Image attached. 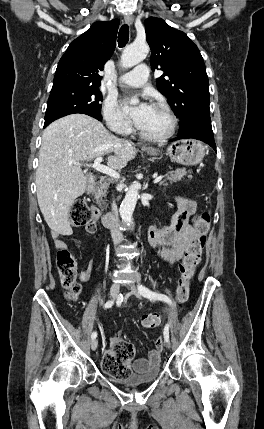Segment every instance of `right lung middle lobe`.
I'll return each instance as SVG.
<instances>
[{
  "instance_id": "1",
  "label": "right lung middle lobe",
  "mask_w": 264,
  "mask_h": 429,
  "mask_svg": "<svg viewBox=\"0 0 264 429\" xmlns=\"http://www.w3.org/2000/svg\"><path fill=\"white\" fill-rule=\"evenodd\" d=\"M102 100L98 87L66 86L53 89L48 99L44 125L74 113L86 114L100 121Z\"/></svg>"
}]
</instances>
